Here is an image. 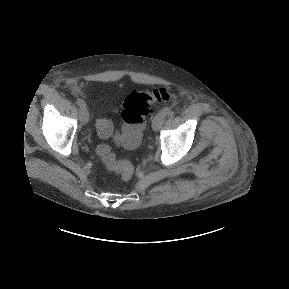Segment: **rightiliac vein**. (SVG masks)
I'll use <instances>...</instances> for the list:
<instances>
[{
    "label": "right iliac vein",
    "instance_id": "63e3f726",
    "mask_svg": "<svg viewBox=\"0 0 289 289\" xmlns=\"http://www.w3.org/2000/svg\"><path fill=\"white\" fill-rule=\"evenodd\" d=\"M80 121L83 124H87V122L89 121V111L86 106L80 107Z\"/></svg>",
    "mask_w": 289,
    "mask_h": 289
}]
</instances>
